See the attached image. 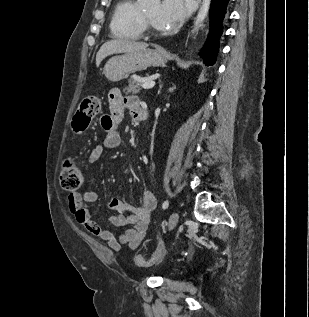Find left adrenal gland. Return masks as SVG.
I'll use <instances>...</instances> for the list:
<instances>
[{"label":"left adrenal gland","mask_w":309,"mask_h":317,"mask_svg":"<svg viewBox=\"0 0 309 317\" xmlns=\"http://www.w3.org/2000/svg\"><path fill=\"white\" fill-rule=\"evenodd\" d=\"M162 87H163V84L160 85V89H159V91H158V94L160 93Z\"/></svg>","instance_id":"obj_1"}]
</instances>
